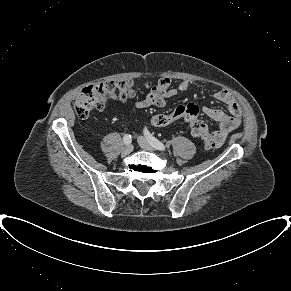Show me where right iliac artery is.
I'll return each instance as SVG.
<instances>
[{
  "mask_svg": "<svg viewBox=\"0 0 291 291\" xmlns=\"http://www.w3.org/2000/svg\"><path fill=\"white\" fill-rule=\"evenodd\" d=\"M123 141L126 145H129L132 142V138L131 135L129 134H125L123 137Z\"/></svg>",
  "mask_w": 291,
  "mask_h": 291,
  "instance_id": "82829eb1",
  "label": "right iliac artery"
}]
</instances>
